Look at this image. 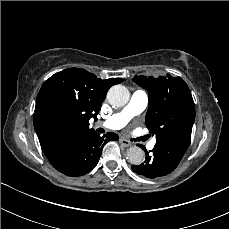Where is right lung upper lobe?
I'll return each instance as SVG.
<instances>
[{"label": "right lung upper lobe", "instance_id": "right-lung-upper-lobe-1", "mask_svg": "<svg viewBox=\"0 0 229 229\" xmlns=\"http://www.w3.org/2000/svg\"><path fill=\"white\" fill-rule=\"evenodd\" d=\"M122 81L102 80L82 68H69L44 82L36 98L33 123L50 163L75 141L94 132L89 120H97L108 89Z\"/></svg>", "mask_w": 229, "mask_h": 229}]
</instances>
